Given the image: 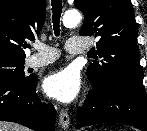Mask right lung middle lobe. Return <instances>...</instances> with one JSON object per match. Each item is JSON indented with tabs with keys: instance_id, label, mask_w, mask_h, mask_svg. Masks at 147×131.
Listing matches in <instances>:
<instances>
[{
	"instance_id": "right-lung-middle-lobe-1",
	"label": "right lung middle lobe",
	"mask_w": 147,
	"mask_h": 131,
	"mask_svg": "<svg viewBox=\"0 0 147 131\" xmlns=\"http://www.w3.org/2000/svg\"><path fill=\"white\" fill-rule=\"evenodd\" d=\"M25 59L0 57V81H23L30 78L24 73Z\"/></svg>"
}]
</instances>
